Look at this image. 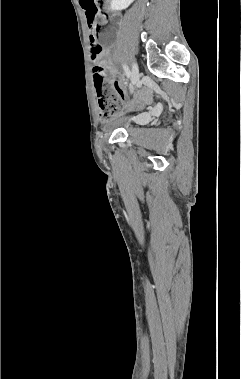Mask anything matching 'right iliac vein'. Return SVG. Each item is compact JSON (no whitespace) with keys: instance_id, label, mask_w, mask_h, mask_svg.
Returning <instances> with one entry per match:
<instances>
[{"instance_id":"obj_1","label":"right iliac vein","mask_w":241,"mask_h":379,"mask_svg":"<svg viewBox=\"0 0 241 379\" xmlns=\"http://www.w3.org/2000/svg\"><path fill=\"white\" fill-rule=\"evenodd\" d=\"M131 81L133 86L136 85L139 81V71L138 66L136 64H133ZM154 111H156V109Z\"/></svg>"}]
</instances>
